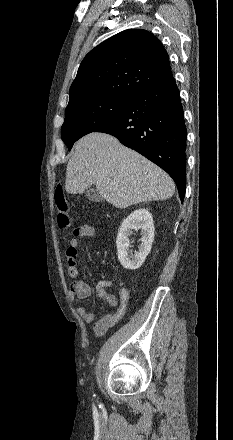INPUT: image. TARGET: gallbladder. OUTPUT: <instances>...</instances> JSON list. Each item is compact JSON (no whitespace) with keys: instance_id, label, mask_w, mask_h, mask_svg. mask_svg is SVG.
<instances>
[{"instance_id":"gallbladder-1","label":"gallbladder","mask_w":233,"mask_h":440,"mask_svg":"<svg viewBox=\"0 0 233 440\" xmlns=\"http://www.w3.org/2000/svg\"><path fill=\"white\" fill-rule=\"evenodd\" d=\"M86 197L90 201H93V202H101L103 200V197L100 195V193L97 190L93 189V188L88 189L86 191Z\"/></svg>"}]
</instances>
